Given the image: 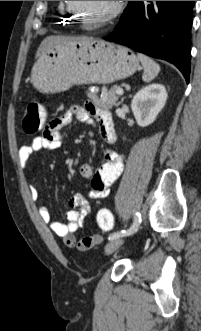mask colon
Instances as JSON below:
<instances>
[{"label": "colon", "mask_w": 201, "mask_h": 331, "mask_svg": "<svg viewBox=\"0 0 201 331\" xmlns=\"http://www.w3.org/2000/svg\"><path fill=\"white\" fill-rule=\"evenodd\" d=\"M47 114L38 102L28 104L23 117V129L27 134H35L45 128ZM97 224L101 229L110 230L113 226V216L109 209L101 208L96 216ZM101 242L99 235L86 236L78 240L79 249H89Z\"/></svg>", "instance_id": "colon-1"}]
</instances>
